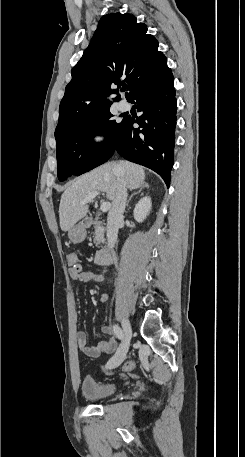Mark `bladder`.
Here are the masks:
<instances>
[{"label": "bladder", "instance_id": "31cf9c89", "mask_svg": "<svg viewBox=\"0 0 245 457\" xmlns=\"http://www.w3.org/2000/svg\"><path fill=\"white\" fill-rule=\"evenodd\" d=\"M83 397L87 399H98L112 396L115 391L114 384L99 383L92 377H86L82 381Z\"/></svg>", "mask_w": 245, "mask_h": 457}]
</instances>
